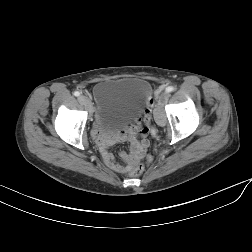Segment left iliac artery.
Wrapping results in <instances>:
<instances>
[{"instance_id":"44dca946","label":"left iliac artery","mask_w":252,"mask_h":252,"mask_svg":"<svg viewBox=\"0 0 252 252\" xmlns=\"http://www.w3.org/2000/svg\"><path fill=\"white\" fill-rule=\"evenodd\" d=\"M172 91H174V87L173 86H169V87L166 88V92L167 93H170Z\"/></svg>"}]
</instances>
